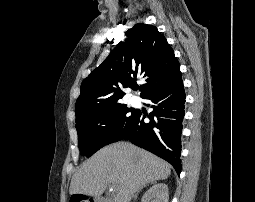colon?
Here are the masks:
<instances>
[{
	"instance_id": "1",
	"label": "colon",
	"mask_w": 255,
	"mask_h": 202,
	"mask_svg": "<svg viewBox=\"0 0 255 202\" xmlns=\"http://www.w3.org/2000/svg\"><path fill=\"white\" fill-rule=\"evenodd\" d=\"M70 202H86V199H84V198H77V199H74V200H72Z\"/></svg>"
}]
</instances>
